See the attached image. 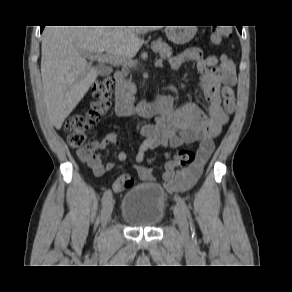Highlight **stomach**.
Returning <instances> with one entry per match:
<instances>
[{"label": "stomach", "instance_id": "1", "mask_svg": "<svg viewBox=\"0 0 292 292\" xmlns=\"http://www.w3.org/2000/svg\"><path fill=\"white\" fill-rule=\"evenodd\" d=\"M195 26L169 27L166 29L168 39L175 44H185L195 35Z\"/></svg>", "mask_w": 292, "mask_h": 292}]
</instances>
